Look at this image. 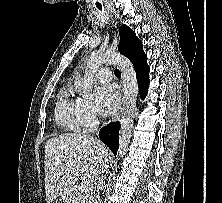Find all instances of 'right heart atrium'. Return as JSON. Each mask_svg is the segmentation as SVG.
Masks as SVG:
<instances>
[{"label": "right heart atrium", "instance_id": "obj_1", "mask_svg": "<svg viewBox=\"0 0 222 203\" xmlns=\"http://www.w3.org/2000/svg\"><path fill=\"white\" fill-rule=\"evenodd\" d=\"M75 106L80 124L85 129H92L98 121V112L92 102L86 98H77Z\"/></svg>", "mask_w": 222, "mask_h": 203}]
</instances>
